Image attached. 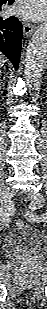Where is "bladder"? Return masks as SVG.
<instances>
[{
  "instance_id": "1",
  "label": "bladder",
  "mask_w": 47,
  "mask_h": 309,
  "mask_svg": "<svg viewBox=\"0 0 47 309\" xmlns=\"http://www.w3.org/2000/svg\"><path fill=\"white\" fill-rule=\"evenodd\" d=\"M45 244L46 236L41 229L23 223L4 237L2 247L7 253L22 254L39 252Z\"/></svg>"
}]
</instances>
